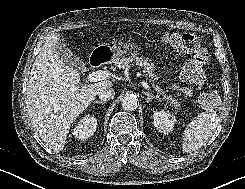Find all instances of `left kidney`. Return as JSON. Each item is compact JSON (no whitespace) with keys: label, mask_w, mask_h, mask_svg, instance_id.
I'll return each instance as SVG.
<instances>
[{"label":"left kidney","mask_w":245,"mask_h":189,"mask_svg":"<svg viewBox=\"0 0 245 189\" xmlns=\"http://www.w3.org/2000/svg\"><path fill=\"white\" fill-rule=\"evenodd\" d=\"M154 126L156 129L164 134H168L173 131L175 124V117L167 111H155L154 115Z\"/></svg>","instance_id":"left-kidney-1"}]
</instances>
